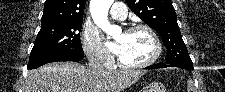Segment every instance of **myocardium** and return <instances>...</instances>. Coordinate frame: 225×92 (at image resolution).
<instances>
[{
    "label": "myocardium",
    "mask_w": 225,
    "mask_h": 92,
    "mask_svg": "<svg viewBox=\"0 0 225 92\" xmlns=\"http://www.w3.org/2000/svg\"><path fill=\"white\" fill-rule=\"evenodd\" d=\"M140 30L146 31L151 36V38L154 42V53L146 61H144L142 63H136V64H127V63L123 62L122 59L118 56L117 63L121 68L133 69V70L134 69H143V68H146V67L152 65L161 55L162 43H161V40H160L158 34L152 27H150L146 24H133L128 29H126L125 32L130 33V32H135V31H140Z\"/></svg>",
    "instance_id": "f54148a6"
}]
</instances>
